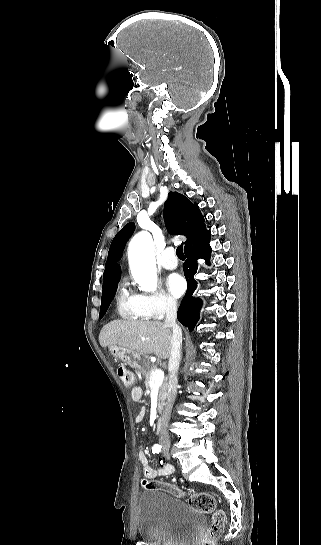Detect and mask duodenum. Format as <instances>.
<instances>
[{"label":"duodenum","instance_id":"410a0bca","mask_svg":"<svg viewBox=\"0 0 321 545\" xmlns=\"http://www.w3.org/2000/svg\"><path fill=\"white\" fill-rule=\"evenodd\" d=\"M162 424H163V417L160 416L156 421V433L161 432Z\"/></svg>","mask_w":321,"mask_h":545}]
</instances>
